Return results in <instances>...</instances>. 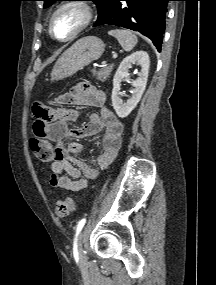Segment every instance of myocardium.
I'll list each match as a JSON object with an SVG mask.
<instances>
[{
	"mask_svg": "<svg viewBox=\"0 0 216 285\" xmlns=\"http://www.w3.org/2000/svg\"><path fill=\"white\" fill-rule=\"evenodd\" d=\"M69 8H73V9H77L82 13V21L80 23V25L67 37L65 38H58L57 36H55V34L53 33V22L55 17L63 10L65 9H69ZM93 9L92 7L83 1H78V0H71L68 2H65L61 5H59L51 14L50 18H49V22H48V31L50 36L59 41V42H70L72 40H74L75 38H77L92 22L93 20Z\"/></svg>",
	"mask_w": 216,
	"mask_h": 285,
	"instance_id": "f54148a6",
	"label": "myocardium"
}]
</instances>
